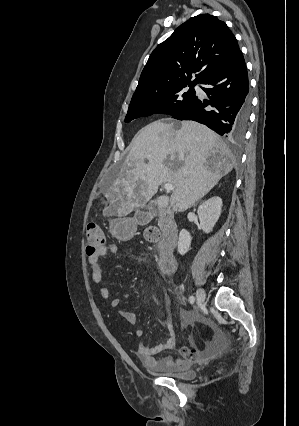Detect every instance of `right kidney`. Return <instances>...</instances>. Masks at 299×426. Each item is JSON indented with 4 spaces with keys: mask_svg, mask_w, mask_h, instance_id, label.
<instances>
[{
    "mask_svg": "<svg viewBox=\"0 0 299 426\" xmlns=\"http://www.w3.org/2000/svg\"><path fill=\"white\" fill-rule=\"evenodd\" d=\"M222 199L219 196H213L204 201L197 210L200 226L205 233H210L221 215ZM191 245L190 233L182 229L179 233L178 252L181 255L186 254Z\"/></svg>",
    "mask_w": 299,
    "mask_h": 426,
    "instance_id": "1",
    "label": "right kidney"
}]
</instances>
